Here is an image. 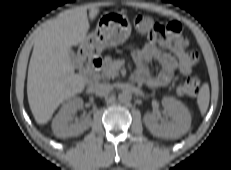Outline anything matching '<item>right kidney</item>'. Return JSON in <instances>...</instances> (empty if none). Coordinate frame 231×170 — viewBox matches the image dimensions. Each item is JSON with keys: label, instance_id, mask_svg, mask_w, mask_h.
I'll list each match as a JSON object with an SVG mask.
<instances>
[{"label": "right kidney", "instance_id": "obj_1", "mask_svg": "<svg viewBox=\"0 0 231 170\" xmlns=\"http://www.w3.org/2000/svg\"><path fill=\"white\" fill-rule=\"evenodd\" d=\"M83 107V100L81 98H74L65 103L60 109L59 113L52 121L53 133L58 138L74 137L82 134L92 125L91 119H84L69 124L72 114Z\"/></svg>", "mask_w": 231, "mask_h": 170}]
</instances>
